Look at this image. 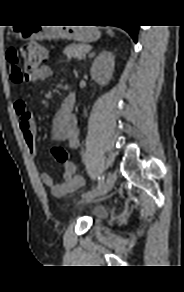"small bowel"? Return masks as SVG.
Wrapping results in <instances>:
<instances>
[{
  "mask_svg": "<svg viewBox=\"0 0 184 292\" xmlns=\"http://www.w3.org/2000/svg\"><path fill=\"white\" fill-rule=\"evenodd\" d=\"M52 75L50 66L43 65L36 69L28 78L30 82L47 79ZM74 95H69L61 108L55 113L52 120L51 136L54 140L64 141L69 149H76L79 145L80 133L77 126V119L72 113ZM14 110L19 118L20 129L29 152L35 155L37 152L36 124L32 112L28 109L26 102L17 99L14 102ZM64 181L56 183L54 178L43 173L41 179L43 184L56 196L76 191L84 185V179L77 173L76 165L68 161L64 164Z\"/></svg>",
  "mask_w": 184,
  "mask_h": 292,
  "instance_id": "1",
  "label": "small bowel"
}]
</instances>
